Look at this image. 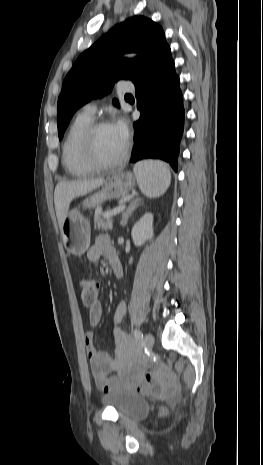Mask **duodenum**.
I'll return each mask as SVG.
<instances>
[{
    "label": "duodenum",
    "mask_w": 263,
    "mask_h": 465,
    "mask_svg": "<svg viewBox=\"0 0 263 465\" xmlns=\"http://www.w3.org/2000/svg\"><path fill=\"white\" fill-rule=\"evenodd\" d=\"M109 261H110V264H111V268L113 270V273L114 275L117 277V278H120L122 277L123 275V268H122V264L117 256L116 253L112 254L111 257L109 258Z\"/></svg>",
    "instance_id": "obj_1"
}]
</instances>
